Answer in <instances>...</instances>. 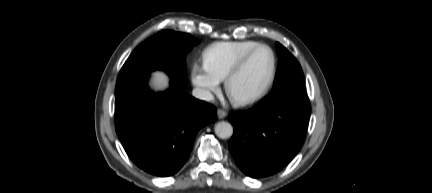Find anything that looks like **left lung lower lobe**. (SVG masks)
Listing matches in <instances>:
<instances>
[{
	"label": "left lung lower lobe",
	"mask_w": 432,
	"mask_h": 193,
	"mask_svg": "<svg viewBox=\"0 0 432 193\" xmlns=\"http://www.w3.org/2000/svg\"><path fill=\"white\" fill-rule=\"evenodd\" d=\"M309 114L306 95L276 94L229 115L234 127L229 150L238 167L253 178L281 170L301 149Z\"/></svg>",
	"instance_id": "left-lung-lower-lobe-1"
}]
</instances>
